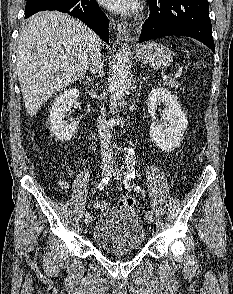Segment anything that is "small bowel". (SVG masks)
<instances>
[{"label":"small bowel","mask_w":233,"mask_h":294,"mask_svg":"<svg viewBox=\"0 0 233 294\" xmlns=\"http://www.w3.org/2000/svg\"><path fill=\"white\" fill-rule=\"evenodd\" d=\"M60 185L65 190L69 189V183L67 181H61ZM97 206L102 207L103 205H102V203H97Z\"/></svg>","instance_id":"c3829d8e"}]
</instances>
